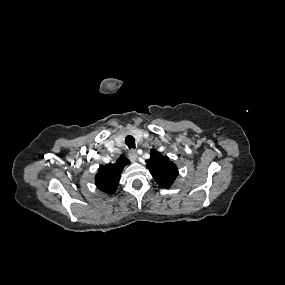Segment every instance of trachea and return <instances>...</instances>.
I'll list each match as a JSON object with an SVG mask.
<instances>
[{"label":"trachea","instance_id":"trachea-1","mask_svg":"<svg viewBox=\"0 0 285 285\" xmlns=\"http://www.w3.org/2000/svg\"><path fill=\"white\" fill-rule=\"evenodd\" d=\"M125 143L129 147V149H132V148L135 149V139L131 135H128L125 138Z\"/></svg>","mask_w":285,"mask_h":285}]
</instances>
